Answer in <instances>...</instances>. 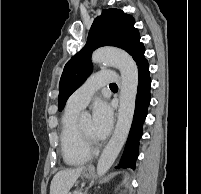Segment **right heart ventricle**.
<instances>
[{"label":"right heart ventricle","mask_w":201,"mask_h":194,"mask_svg":"<svg viewBox=\"0 0 201 194\" xmlns=\"http://www.w3.org/2000/svg\"><path fill=\"white\" fill-rule=\"evenodd\" d=\"M80 109L66 106L61 118L60 146L64 161L69 165H80L88 161L91 151L80 138L77 129V116Z\"/></svg>","instance_id":"right-heart-ventricle-1"}]
</instances>
